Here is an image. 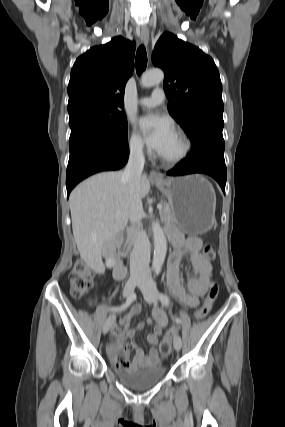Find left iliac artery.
I'll list each match as a JSON object with an SVG mask.
<instances>
[{"instance_id":"44dca946","label":"left iliac artery","mask_w":285,"mask_h":427,"mask_svg":"<svg viewBox=\"0 0 285 427\" xmlns=\"http://www.w3.org/2000/svg\"><path fill=\"white\" fill-rule=\"evenodd\" d=\"M159 272H160V269H157V270H156V275H158V274H159ZM159 298H160V301H161V303H162L163 305L168 306V305L170 304V300H169V298H168V296H167L166 294L160 293V294H159ZM175 322H176L177 324H180V323H181V320H180L179 318H175Z\"/></svg>"}]
</instances>
